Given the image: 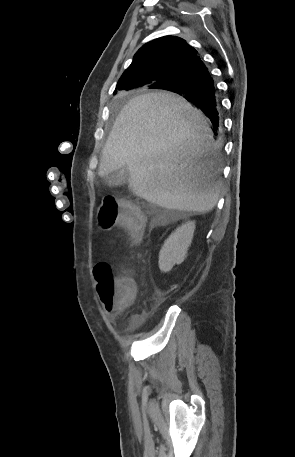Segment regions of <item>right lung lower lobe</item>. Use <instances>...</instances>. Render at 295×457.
<instances>
[{"mask_svg":"<svg viewBox=\"0 0 295 457\" xmlns=\"http://www.w3.org/2000/svg\"><path fill=\"white\" fill-rule=\"evenodd\" d=\"M153 88L176 92L200 108L214 127L219 126L220 101L207 67L195 58L179 73L178 78L157 84Z\"/></svg>","mask_w":295,"mask_h":457,"instance_id":"obj_1","label":"right lung lower lobe"}]
</instances>
